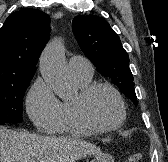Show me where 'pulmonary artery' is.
I'll list each match as a JSON object with an SVG mask.
<instances>
[{
  "label": "pulmonary artery",
  "mask_w": 168,
  "mask_h": 162,
  "mask_svg": "<svg viewBox=\"0 0 168 162\" xmlns=\"http://www.w3.org/2000/svg\"><path fill=\"white\" fill-rule=\"evenodd\" d=\"M68 66L74 77L91 79L93 76V67L85 57L72 56L68 61Z\"/></svg>",
  "instance_id": "obj_1"
}]
</instances>
